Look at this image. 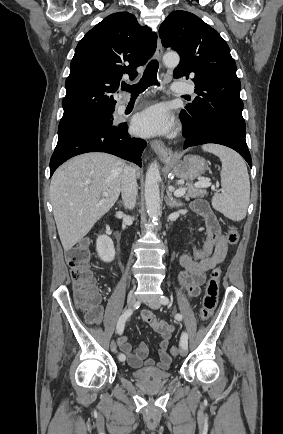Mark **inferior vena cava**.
<instances>
[{
    "mask_svg": "<svg viewBox=\"0 0 283 434\" xmlns=\"http://www.w3.org/2000/svg\"><path fill=\"white\" fill-rule=\"evenodd\" d=\"M137 192L136 170L133 167L126 166L121 181L122 200L126 209L135 207Z\"/></svg>",
    "mask_w": 283,
    "mask_h": 434,
    "instance_id": "1",
    "label": "inferior vena cava"
}]
</instances>
